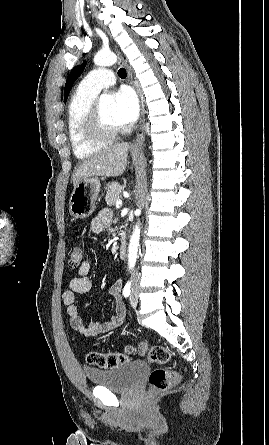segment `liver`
<instances>
[{
    "instance_id": "liver-1",
    "label": "liver",
    "mask_w": 269,
    "mask_h": 445,
    "mask_svg": "<svg viewBox=\"0 0 269 445\" xmlns=\"http://www.w3.org/2000/svg\"><path fill=\"white\" fill-rule=\"evenodd\" d=\"M129 148L128 143L115 144L83 161L73 173L74 188L85 178L120 176L126 169ZM137 162V153H134L133 165Z\"/></svg>"
}]
</instances>
